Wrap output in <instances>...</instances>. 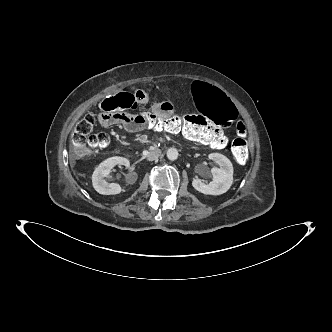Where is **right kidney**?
I'll return each mask as SVG.
<instances>
[{"label":"right kidney","mask_w":332,"mask_h":332,"mask_svg":"<svg viewBox=\"0 0 332 332\" xmlns=\"http://www.w3.org/2000/svg\"><path fill=\"white\" fill-rule=\"evenodd\" d=\"M129 160L123 157L114 156L101 162L95 168L92 175V184L94 189L102 195L119 194L122 188L117 183H109L105 178L110 174L111 169L116 165L129 166Z\"/></svg>","instance_id":"obj_1"}]
</instances>
